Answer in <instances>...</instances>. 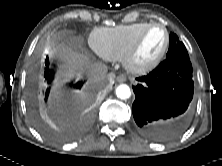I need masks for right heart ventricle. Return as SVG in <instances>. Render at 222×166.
Returning a JSON list of instances; mask_svg holds the SVG:
<instances>
[{
    "label": "right heart ventricle",
    "instance_id": "e07e8e85",
    "mask_svg": "<svg viewBox=\"0 0 222 166\" xmlns=\"http://www.w3.org/2000/svg\"><path fill=\"white\" fill-rule=\"evenodd\" d=\"M147 22H138L115 27H102L90 36L93 50L107 60L122 59L128 47Z\"/></svg>",
    "mask_w": 222,
    "mask_h": 166
}]
</instances>
